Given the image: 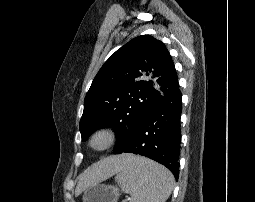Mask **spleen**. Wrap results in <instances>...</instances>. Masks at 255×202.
<instances>
[{
  "label": "spleen",
  "mask_w": 255,
  "mask_h": 202,
  "mask_svg": "<svg viewBox=\"0 0 255 202\" xmlns=\"http://www.w3.org/2000/svg\"><path fill=\"white\" fill-rule=\"evenodd\" d=\"M115 180L130 194L131 202H165L174 177L164 166L144 157L132 156L117 172Z\"/></svg>",
  "instance_id": "spleen-1"
}]
</instances>
